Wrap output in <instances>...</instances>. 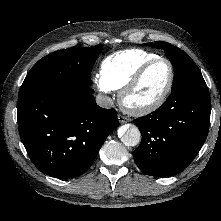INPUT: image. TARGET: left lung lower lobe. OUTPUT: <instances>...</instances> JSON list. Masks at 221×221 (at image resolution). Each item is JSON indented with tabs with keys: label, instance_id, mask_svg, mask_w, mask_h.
Instances as JSON below:
<instances>
[{
	"label": "left lung lower lobe",
	"instance_id": "left-lung-lower-lobe-1",
	"mask_svg": "<svg viewBox=\"0 0 221 221\" xmlns=\"http://www.w3.org/2000/svg\"><path fill=\"white\" fill-rule=\"evenodd\" d=\"M210 111L207 86L184 87L172 91L156 111L133 120L142 134L134 151L137 166L157 177L184 170L207 137Z\"/></svg>",
	"mask_w": 221,
	"mask_h": 221
}]
</instances>
